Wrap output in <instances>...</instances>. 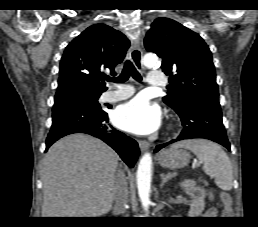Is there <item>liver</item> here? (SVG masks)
I'll return each instance as SVG.
<instances>
[{
  "label": "liver",
  "mask_w": 258,
  "mask_h": 227,
  "mask_svg": "<svg viewBox=\"0 0 258 227\" xmlns=\"http://www.w3.org/2000/svg\"><path fill=\"white\" fill-rule=\"evenodd\" d=\"M116 152L86 134L54 143L43 159L42 217H97L112 209Z\"/></svg>",
  "instance_id": "obj_1"
}]
</instances>
